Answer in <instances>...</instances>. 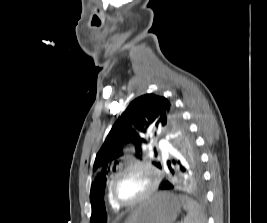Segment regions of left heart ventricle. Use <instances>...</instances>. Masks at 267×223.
I'll list each match as a JSON object with an SVG mask.
<instances>
[{
	"label": "left heart ventricle",
	"instance_id": "left-heart-ventricle-1",
	"mask_svg": "<svg viewBox=\"0 0 267 223\" xmlns=\"http://www.w3.org/2000/svg\"><path fill=\"white\" fill-rule=\"evenodd\" d=\"M150 183L151 177L147 172L141 169H131L118 177L114 192L121 201H133L148 189Z\"/></svg>",
	"mask_w": 267,
	"mask_h": 223
}]
</instances>
